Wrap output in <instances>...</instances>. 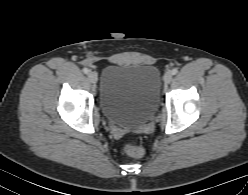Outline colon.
I'll use <instances>...</instances> for the list:
<instances>
[{
    "label": "colon",
    "mask_w": 248,
    "mask_h": 195,
    "mask_svg": "<svg viewBox=\"0 0 248 195\" xmlns=\"http://www.w3.org/2000/svg\"><path fill=\"white\" fill-rule=\"evenodd\" d=\"M123 152L131 157H139L143 154V148L135 137H128L123 144Z\"/></svg>",
    "instance_id": "colon-1"
}]
</instances>
